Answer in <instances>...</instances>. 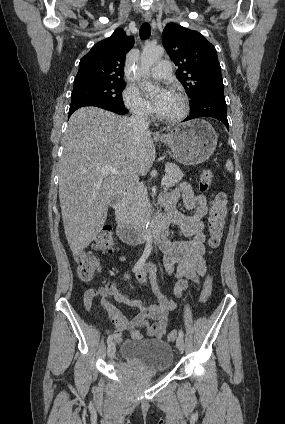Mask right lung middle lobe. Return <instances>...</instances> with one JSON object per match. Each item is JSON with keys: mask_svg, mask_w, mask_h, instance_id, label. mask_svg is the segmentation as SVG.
Masks as SVG:
<instances>
[{"mask_svg": "<svg viewBox=\"0 0 285 424\" xmlns=\"http://www.w3.org/2000/svg\"><path fill=\"white\" fill-rule=\"evenodd\" d=\"M124 81H98L74 84L71 100L96 99L124 107L122 91Z\"/></svg>", "mask_w": 285, "mask_h": 424, "instance_id": "dd1d6c3e", "label": "right lung middle lobe"}]
</instances>
